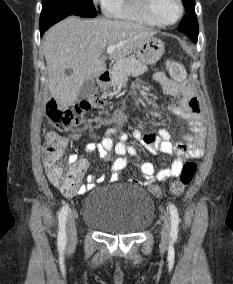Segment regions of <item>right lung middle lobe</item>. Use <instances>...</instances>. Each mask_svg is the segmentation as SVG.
Masks as SVG:
<instances>
[{
    "mask_svg": "<svg viewBox=\"0 0 233 284\" xmlns=\"http://www.w3.org/2000/svg\"><path fill=\"white\" fill-rule=\"evenodd\" d=\"M69 15L95 17L92 0H42L40 28L50 27Z\"/></svg>",
    "mask_w": 233,
    "mask_h": 284,
    "instance_id": "right-lung-middle-lobe-1",
    "label": "right lung middle lobe"
}]
</instances>
